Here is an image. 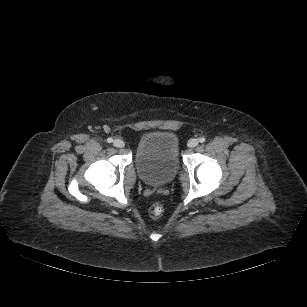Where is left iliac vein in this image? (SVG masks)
I'll return each mask as SVG.
<instances>
[{"mask_svg": "<svg viewBox=\"0 0 307 307\" xmlns=\"http://www.w3.org/2000/svg\"><path fill=\"white\" fill-rule=\"evenodd\" d=\"M198 145V140L195 138H192L188 141V147L194 148Z\"/></svg>", "mask_w": 307, "mask_h": 307, "instance_id": "1", "label": "left iliac vein"}]
</instances>
